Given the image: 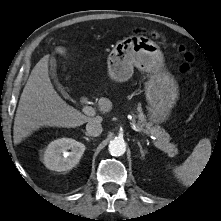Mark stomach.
I'll return each instance as SVG.
<instances>
[{"label": "stomach", "mask_w": 221, "mask_h": 221, "mask_svg": "<svg viewBox=\"0 0 221 221\" xmlns=\"http://www.w3.org/2000/svg\"><path fill=\"white\" fill-rule=\"evenodd\" d=\"M163 54L159 46L144 36H131L117 42L108 56V74L117 82H125L133 75L134 67L150 73L146 87L150 120L164 122L170 115L178 86L163 69Z\"/></svg>", "instance_id": "0dacf381"}]
</instances>
